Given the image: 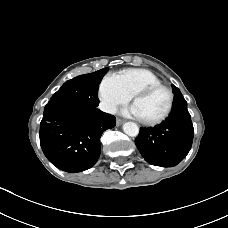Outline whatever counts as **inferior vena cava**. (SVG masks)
<instances>
[{"mask_svg": "<svg viewBox=\"0 0 228 228\" xmlns=\"http://www.w3.org/2000/svg\"><path fill=\"white\" fill-rule=\"evenodd\" d=\"M99 108L107 113H111V114H115L117 112V109L114 105L112 104H108V103H104L102 102L99 106Z\"/></svg>", "mask_w": 228, "mask_h": 228, "instance_id": "inferior-vena-cava-1", "label": "inferior vena cava"}]
</instances>
